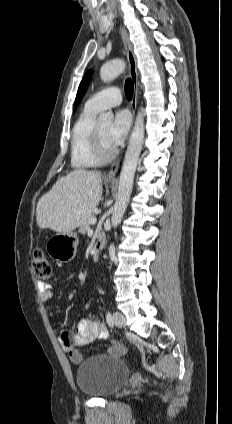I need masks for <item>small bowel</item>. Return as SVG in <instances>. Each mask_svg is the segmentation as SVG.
I'll use <instances>...</instances> for the list:
<instances>
[{
  "mask_svg": "<svg viewBox=\"0 0 232 424\" xmlns=\"http://www.w3.org/2000/svg\"><path fill=\"white\" fill-rule=\"evenodd\" d=\"M38 289L44 302H49L53 298L52 286L46 282H38ZM109 333L98 317L80 320L75 329H61L59 341L62 349L66 352L73 363H80L84 354L78 349L81 346L90 344L98 339H107ZM108 353L111 355H121L110 345Z\"/></svg>",
  "mask_w": 232,
  "mask_h": 424,
  "instance_id": "obj_1",
  "label": "small bowel"
}]
</instances>
